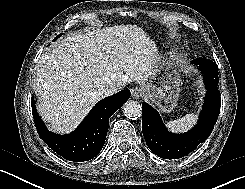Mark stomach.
Segmentation results:
<instances>
[{"label":"stomach","instance_id":"stomach-1","mask_svg":"<svg viewBox=\"0 0 245 189\" xmlns=\"http://www.w3.org/2000/svg\"><path fill=\"white\" fill-rule=\"evenodd\" d=\"M161 56V55H160ZM182 80L171 61L156 63L149 81L142 85L143 96L153 102L161 112H171L177 105Z\"/></svg>","mask_w":245,"mask_h":189}]
</instances>
